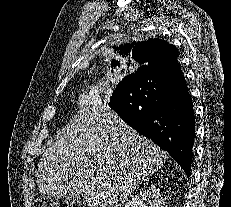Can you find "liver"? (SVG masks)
Wrapping results in <instances>:
<instances>
[{
    "label": "liver",
    "instance_id": "6515ba94",
    "mask_svg": "<svg viewBox=\"0 0 231 207\" xmlns=\"http://www.w3.org/2000/svg\"><path fill=\"white\" fill-rule=\"evenodd\" d=\"M167 158L109 106L81 110L47 142L37 166L42 194H82L89 207H121Z\"/></svg>",
    "mask_w": 231,
    "mask_h": 207
}]
</instances>
